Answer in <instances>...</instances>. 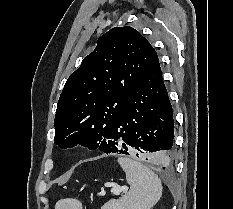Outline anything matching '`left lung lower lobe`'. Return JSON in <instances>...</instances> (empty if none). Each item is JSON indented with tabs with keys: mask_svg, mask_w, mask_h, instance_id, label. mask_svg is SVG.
<instances>
[{
	"mask_svg": "<svg viewBox=\"0 0 233 209\" xmlns=\"http://www.w3.org/2000/svg\"><path fill=\"white\" fill-rule=\"evenodd\" d=\"M173 139L172 106L156 56L111 124L101 151L134 154L153 164H166L172 157Z\"/></svg>",
	"mask_w": 233,
	"mask_h": 209,
	"instance_id": "0a47b994",
	"label": "left lung lower lobe"
}]
</instances>
